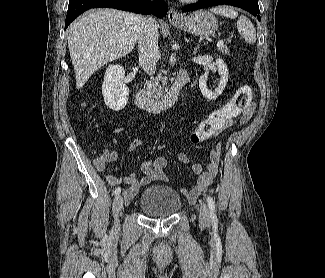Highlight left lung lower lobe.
<instances>
[{"label": "left lung lower lobe", "instance_id": "1", "mask_svg": "<svg viewBox=\"0 0 325 278\" xmlns=\"http://www.w3.org/2000/svg\"><path fill=\"white\" fill-rule=\"evenodd\" d=\"M217 5H231V6L242 8L250 12L254 16H257L258 20H260L258 0H201L197 3L190 4L183 7L182 11L188 12L192 10H197V9L217 6Z\"/></svg>", "mask_w": 325, "mask_h": 278}]
</instances>
